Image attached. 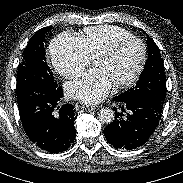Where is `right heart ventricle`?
Segmentation results:
<instances>
[{
    "label": "right heart ventricle",
    "instance_id": "e07e8e85",
    "mask_svg": "<svg viewBox=\"0 0 183 183\" xmlns=\"http://www.w3.org/2000/svg\"><path fill=\"white\" fill-rule=\"evenodd\" d=\"M132 36L127 30L111 25L89 27L79 37L89 59L94 58L114 41Z\"/></svg>",
    "mask_w": 183,
    "mask_h": 183
}]
</instances>
